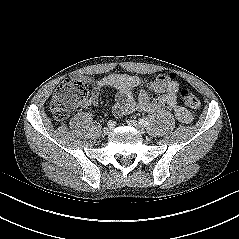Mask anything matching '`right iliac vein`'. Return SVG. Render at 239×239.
Masks as SVG:
<instances>
[{
	"instance_id": "1",
	"label": "right iliac vein",
	"mask_w": 239,
	"mask_h": 239,
	"mask_svg": "<svg viewBox=\"0 0 239 239\" xmlns=\"http://www.w3.org/2000/svg\"><path fill=\"white\" fill-rule=\"evenodd\" d=\"M112 128L113 127H111L110 125L104 127L103 128V134L108 135L111 132Z\"/></svg>"
}]
</instances>
